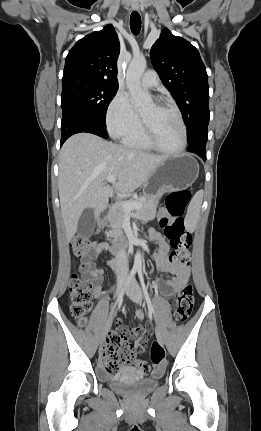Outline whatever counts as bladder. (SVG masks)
<instances>
[{
	"label": "bladder",
	"mask_w": 261,
	"mask_h": 431,
	"mask_svg": "<svg viewBox=\"0 0 261 431\" xmlns=\"http://www.w3.org/2000/svg\"><path fill=\"white\" fill-rule=\"evenodd\" d=\"M160 376H154V378L140 377L133 368L126 367L110 377L109 385L112 390L122 395L145 396L155 390Z\"/></svg>",
	"instance_id": "1"
}]
</instances>
